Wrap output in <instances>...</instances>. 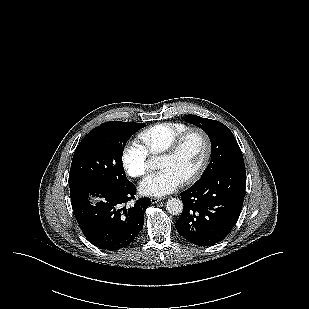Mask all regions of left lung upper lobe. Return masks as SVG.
I'll return each mask as SVG.
<instances>
[{
  "label": "left lung upper lobe",
  "instance_id": "5c2ea615",
  "mask_svg": "<svg viewBox=\"0 0 309 309\" xmlns=\"http://www.w3.org/2000/svg\"><path fill=\"white\" fill-rule=\"evenodd\" d=\"M186 121L203 129L211 140V160L201 177L224 166L244 162L241 149L233 133L224 124L192 114L186 116Z\"/></svg>",
  "mask_w": 309,
  "mask_h": 309
}]
</instances>
